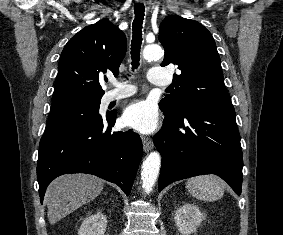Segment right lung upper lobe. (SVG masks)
<instances>
[{
	"label": "right lung upper lobe",
	"mask_w": 283,
	"mask_h": 235,
	"mask_svg": "<svg viewBox=\"0 0 283 235\" xmlns=\"http://www.w3.org/2000/svg\"><path fill=\"white\" fill-rule=\"evenodd\" d=\"M127 48L124 33L108 19L89 25L64 47L58 65L53 103L77 97L101 98L99 79L115 76Z\"/></svg>",
	"instance_id": "1"
}]
</instances>
